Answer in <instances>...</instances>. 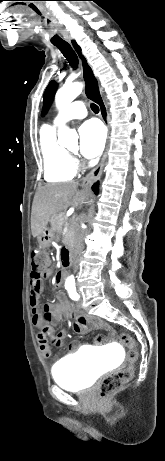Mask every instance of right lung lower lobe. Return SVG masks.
Returning <instances> with one entry per match:
<instances>
[{
  "label": "right lung lower lobe",
  "instance_id": "right-lung-lower-lobe-1",
  "mask_svg": "<svg viewBox=\"0 0 165 461\" xmlns=\"http://www.w3.org/2000/svg\"><path fill=\"white\" fill-rule=\"evenodd\" d=\"M92 190L96 193L98 191V182L92 186Z\"/></svg>",
  "mask_w": 165,
  "mask_h": 461
}]
</instances>
